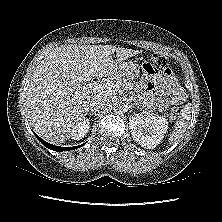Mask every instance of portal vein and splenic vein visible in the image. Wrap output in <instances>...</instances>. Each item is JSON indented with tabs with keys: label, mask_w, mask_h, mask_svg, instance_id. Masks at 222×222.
<instances>
[{
	"label": "portal vein and splenic vein",
	"mask_w": 222,
	"mask_h": 222,
	"mask_svg": "<svg viewBox=\"0 0 222 222\" xmlns=\"http://www.w3.org/2000/svg\"><path fill=\"white\" fill-rule=\"evenodd\" d=\"M89 88L93 89L94 91H102L106 94H112L118 91L120 88L119 84H114L110 82L106 83H90Z\"/></svg>",
	"instance_id": "portal-vein-and-splenic-vein-1"
}]
</instances>
